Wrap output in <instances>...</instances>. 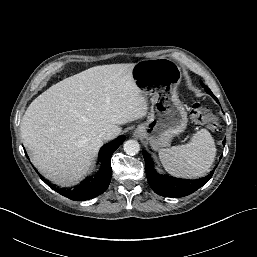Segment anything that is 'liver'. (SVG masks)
<instances>
[{"label":"liver","mask_w":257,"mask_h":257,"mask_svg":"<svg viewBox=\"0 0 257 257\" xmlns=\"http://www.w3.org/2000/svg\"><path fill=\"white\" fill-rule=\"evenodd\" d=\"M134 64L95 66L39 95L20 125L33 165L49 180L70 186L86 175L103 144L100 133L145 117L147 99Z\"/></svg>","instance_id":"1"}]
</instances>
